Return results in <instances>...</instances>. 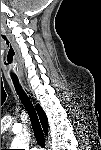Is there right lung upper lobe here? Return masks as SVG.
Wrapping results in <instances>:
<instances>
[{
	"instance_id": "cb5924a9",
	"label": "right lung upper lobe",
	"mask_w": 101,
	"mask_h": 150,
	"mask_svg": "<svg viewBox=\"0 0 101 150\" xmlns=\"http://www.w3.org/2000/svg\"><path fill=\"white\" fill-rule=\"evenodd\" d=\"M36 109H37V113L39 115L43 130H44L45 134L47 135V133H48V123H47L46 115H45L44 111L42 110L41 106L37 105Z\"/></svg>"
}]
</instances>
